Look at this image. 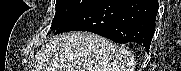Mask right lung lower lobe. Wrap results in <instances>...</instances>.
<instances>
[{"instance_id":"1","label":"right lung lower lobe","mask_w":181,"mask_h":71,"mask_svg":"<svg viewBox=\"0 0 181 71\" xmlns=\"http://www.w3.org/2000/svg\"><path fill=\"white\" fill-rule=\"evenodd\" d=\"M157 12L158 0H94L55 34L89 31L121 44L137 43L149 53Z\"/></svg>"}]
</instances>
